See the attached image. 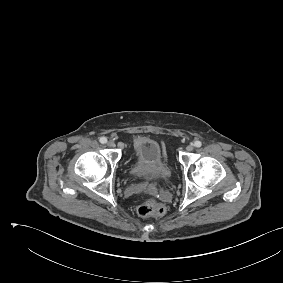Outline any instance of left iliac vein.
Masks as SVG:
<instances>
[{"instance_id": "left-iliac-vein-1", "label": "left iliac vein", "mask_w": 283, "mask_h": 283, "mask_svg": "<svg viewBox=\"0 0 283 283\" xmlns=\"http://www.w3.org/2000/svg\"><path fill=\"white\" fill-rule=\"evenodd\" d=\"M193 149H194V145H193V144H189V145L186 147V150H187L188 152L193 151Z\"/></svg>"}]
</instances>
